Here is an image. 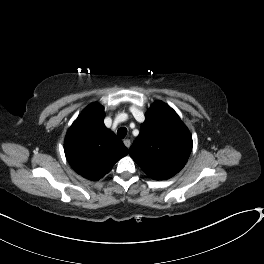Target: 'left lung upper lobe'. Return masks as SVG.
<instances>
[{"instance_id": "1", "label": "left lung upper lobe", "mask_w": 264, "mask_h": 264, "mask_svg": "<svg viewBox=\"0 0 264 264\" xmlns=\"http://www.w3.org/2000/svg\"><path fill=\"white\" fill-rule=\"evenodd\" d=\"M192 146L191 134L177 113L156 101L147 111L129 153L147 176L165 180L185 166Z\"/></svg>"}]
</instances>
